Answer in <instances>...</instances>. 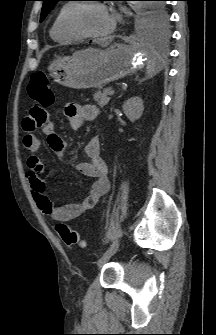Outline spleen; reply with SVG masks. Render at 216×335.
Instances as JSON below:
<instances>
[{"instance_id": "obj_1", "label": "spleen", "mask_w": 216, "mask_h": 335, "mask_svg": "<svg viewBox=\"0 0 216 335\" xmlns=\"http://www.w3.org/2000/svg\"><path fill=\"white\" fill-rule=\"evenodd\" d=\"M159 59L156 57V54L150 53L147 61V75L148 77H153L160 70Z\"/></svg>"}]
</instances>
